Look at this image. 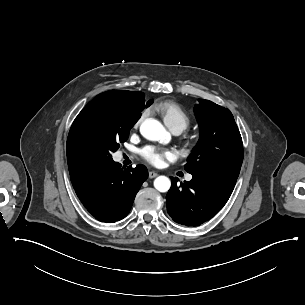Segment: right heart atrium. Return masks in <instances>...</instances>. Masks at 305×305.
I'll return each mask as SVG.
<instances>
[{
  "label": "right heart atrium",
  "mask_w": 305,
  "mask_h": 305,
  "mask_svg": "<svg viewBox=\"0 0 305 305\" xmlns=\"http://www.w3.org/2000/svg\"><path fill=\"white\" fill-rule=\"evenodd\" d=\"M145 113H142V115L135 121L134 125H133V128L136 129L139 127L140 125V122L142 120V118L144 117Z\"/></svg>",
  "instance_id": "right-heart-atrium-1"
}]
</instances>
